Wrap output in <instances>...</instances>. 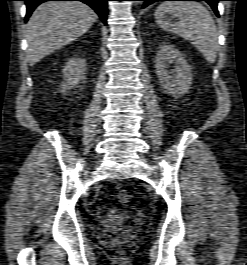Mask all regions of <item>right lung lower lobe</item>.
<instances>
[{"label":"right lung lower lobe","instance_id":"obj_1","mask_svg":"<svg viewBox=\"0 0 247 265\" xmlns=\"http://www.w3.org/2000/svg\"><path fill=\"white\" fill-rule=\"evenodd\" d=\"M27 6V14L25 21L28 20L34 9L41 3L46 1H81L86 3L99 15L104 24H107V1L109 0H23Z\"/></svg>","mask_w":247,"mask_h":265}]
</instances>
